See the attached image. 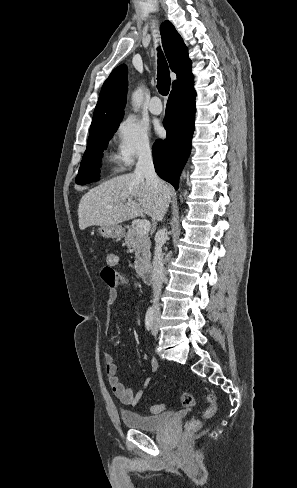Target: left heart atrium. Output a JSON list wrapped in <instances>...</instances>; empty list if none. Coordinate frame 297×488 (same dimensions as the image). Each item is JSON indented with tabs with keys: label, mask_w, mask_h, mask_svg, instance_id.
Returning a JSON list of instances; mask_svg holds the SVG:
<instances>
[{
	"label": "left heart atrium",
	"mask_w": 297,
	"mask_h": 488,
	"mask_svg": "<svg viewBox=\"0 0 297 488\" xmlns=\"http://www.w3.org/2000/svg\"><path fill=\"white\" fill-rule=\"evenodd\" d=\"M156 132H157L159 135L163 134V128H162L161 126L157 125V126H156Z\"/></svg>",
	"instance_id": "left-heart-atrium-1"
}]
</instances>
